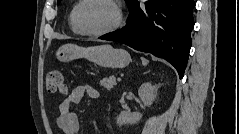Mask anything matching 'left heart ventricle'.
Here are the masks:
<instances>
[{
    "instance_id": "b2bd125f",
    "label": "left heart ventricle",
    "mask_w": 239,
    "mask_h": 134,
    "mask_svg": "<svg viewBox=\"0 0 239 134\" xmlns=\"http://www.w3.org/2000/svg\"><path fill=\"white\" fill-rule=\"evenodd\" d=\"M116 19L114 8L106 1H88L81 10V24L89 31H100L110 27Z\"/></svg>"
}]
</instances>
